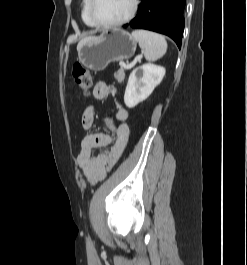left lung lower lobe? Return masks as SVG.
Segmentation results:
<instances>
[{
	"label": "left lung lower lobe",
	"mask_w": 247,
	"mask_h": 265,
	"mask_svg": "<svg viewBox=\"0 0 247 265\" xmlns=\"http://www.w3.org/2000/svg\"><path fill=\"white\" fill-rule=\"evenodd\" d=\"M186 0H141L133 28L147 29L171 37L181 47ZM128 25H125L126 27Z\"/></svg>",
	"instance_id": "obj_1"
}]
</instances>
